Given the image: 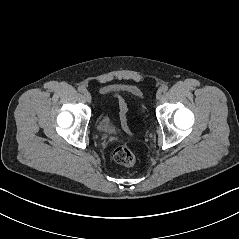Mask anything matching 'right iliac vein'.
<instances>
[{
	"label": "right iliac vein",
	"mask_w": 239,
	"mask_h": 239,
	"mask_svg": "<svg viewBox=\"0 0 239 239\" xmlns=\"http://www.w3.org/2000/svg\"><path fill=\"white\" fill-rule=\"evenodd\" d=\"M83 95H84V98L86 99L87 102H91L92 96H91V94L87 90H85L83 92Z\"/></svg>",
	"instance_id": "obj_1"
}]
</instances>
